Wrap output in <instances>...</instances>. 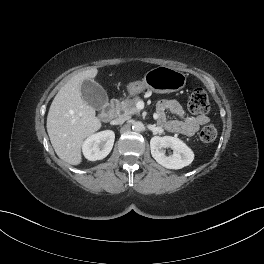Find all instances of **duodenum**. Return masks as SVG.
Wrapping results in <instances>:
<instances>
[{"instance_id":"410a0bca","label":"duodenum","mask_w":264,"mask_h":264,"mask_svg":"<svg viewBox=\"0 0 264 264\" xmlns=\"http://www.w3.org/2000/svg\"><path fill=\"white\" fill-rule=\"evenodd\" d=\"M116 100H113L106 109L101 113V120L103 122H108L112 120L116 115Z\"/></svg>"}]
</instances>
